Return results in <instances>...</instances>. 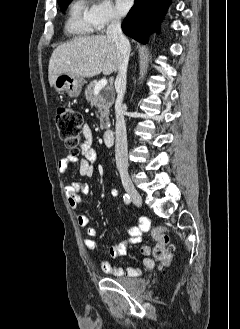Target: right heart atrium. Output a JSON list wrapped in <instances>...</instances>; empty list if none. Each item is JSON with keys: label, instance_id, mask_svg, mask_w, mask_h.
Wrapping results in <instances>:
<instances>
[{"label": "right heart atrium", "instance_id": "obj_1", "mask_svg": "<svg viewBox=\"0 0 240 329\" xmlns=\"http://www.w3.org/2000/svg\"><path fill=\"white\" fill-rule=\"evenodd\" d=\"M93 28L97 32H104L107 27L120 21L119 15L108 0H96L92 3L89 12Z\"/></svg>", "mask_w": 240, "mask_h": 329}]
</instances>
